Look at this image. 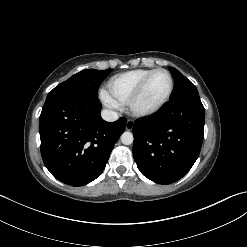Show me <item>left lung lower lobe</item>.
<instances>
[{"label":"left lung lower lobe","mask_w":247,"mask_h":247,"mask_svg":"<svg viewBox=\"0 0 247 247\" xmlns=\"http://www.w3.org/2000/svg\"><path fill=\"white\" fill-rule=\"evenodd\" d=\"M204 120L199 96H189L136 121L133 157L140 172L158 184H170L186 175L201 150Z\"/></svg>","instance_id":"left-lung-lower-lobe-1"}]
</instances>
